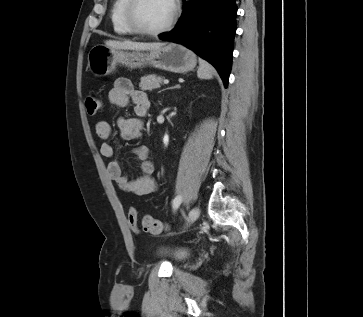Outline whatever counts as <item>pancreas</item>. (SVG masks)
<instances>
[{
  "label": "pancreas",
  "instance_id": "pancreas-1",
  "mask_svg": "<svg viewBox=\"0 0 363 317\" xmlns=\"http://www.w3.org/2000/svg\"><path fill=\"white\" fill-rule=\"evenodd\" d=\"M163 82V77L156 76L155 74H149L141 77L139 87L141 90L152 91L154 89L160 88Z\"/></svg>",
  "mask_w": 363,
  "mask_h": 317
}]
</instances>
